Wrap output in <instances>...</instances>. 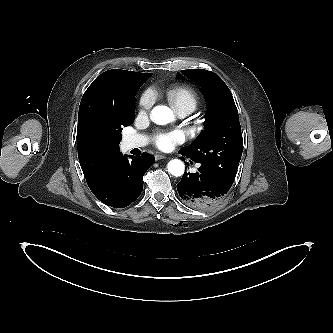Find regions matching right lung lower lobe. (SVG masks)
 <instances>
[{"label": "right lung lower lobe", "mask_w": 333, "mask_h": 333, "mask_svg": "<svg viewBox=\"0 0 333 333\" xmlns=\"http://www.w3.org/2000/svg\"><path fill=\"white\" fill-rule=\"evenodd\" d=\"M122 154L114 164L108 179L93 194L104 204L123 208L134 202L143 189V176L154 162L153 156L144 152L141 157Z\"/></svg>", "instance_id": "1"}]
</instances>
